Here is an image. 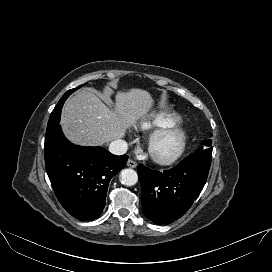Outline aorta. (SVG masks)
Here are the masks:
<instances>
[{"label": "aorta", "mask_w": 272, "mask_h": 272, "mask_svg": "<svg viewBox=\"0 0 272 272\" xmlns=\"http://www.w3.org/2000/svg\"><path fill=\"white\" fill-rule=\"evenodd\" d=\"M120 178H121V182L127 186H133L138 181L137 172L133 169H130V168L123 169L121 171Z\"/></svg>", "instance_id": "obj_1"}]
</instances>
